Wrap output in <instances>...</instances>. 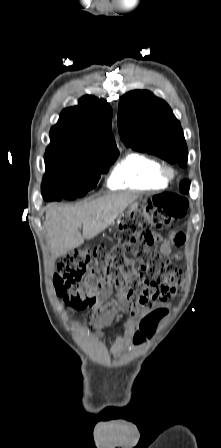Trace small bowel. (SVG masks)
Returning a JSON list of instances; mask_svg holds the SVG:
<instances>
[{"mask_svg": "<svg viewBox=\"0 0 221 448\" xmlns=\"http://www.w3.org/2000/svg\"><path fill=\"white\" fill-rule=\"evenodd\" d=\"M187 235L184 231H177L168 235L162 240L160 245V252L163 255H169L173 246L181 247L186 242ZM176 258L181 255L177 253ZM112 289L107 286L105 291L102 292L97 299V302L92 306V315L90 317V325L95 330V338L100 339L102 337V329L113 323L117 322L122 327L123 332L117 337V340L111 347V352L114 355H119L130 344L132 338L135 340V336L139 331V322L142 319L150 316L152 313L139 306H133L128 301L125 295V291L122 287H118L116 300L111 299ZM164 313L157 319L160 320L166 313V310L162 307ZM121 311H133L134 318L130 320H123L119 317ZM154 313V312H153ZM156 321V322H157ZM155 322V323H156ZM146 334H142L135 342H141L144 340Z\"/></svg>", "mask_w": 221, "mask_h": 448, "instance_id": "c3829d8e", "label": "small bowel"}]
</instances>
